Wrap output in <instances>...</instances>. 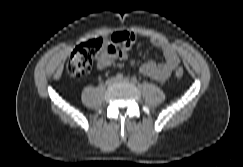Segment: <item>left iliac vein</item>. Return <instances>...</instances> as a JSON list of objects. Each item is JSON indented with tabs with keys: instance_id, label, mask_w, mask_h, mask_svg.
I'll return each instance as SVG.
<instances>
[{
	"instance_id": "left-iliac-vein-1",
	"label": "left iliac vein",
	"mask_w": 243,
	"mask_h": 167,
	"mask_svg": "<svg viewBox=\"0 0 243 167\" xmlns=\"http://www.w3.org/2000/svg\"><path fill=\"white\" fill-rule=\"evenodd\" d=\"M116 82H118V83H121V82L129 83V79L128 78H124V79H121V80H117Z\"/></svg>"
}]
</instances>
